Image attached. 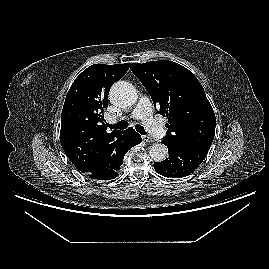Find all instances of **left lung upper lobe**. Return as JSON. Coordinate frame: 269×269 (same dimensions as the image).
I'll return each mask as SVG.
<instances>
[{"label":"left lung upper lobe","instance_id":"obj_1","mask_svg":"<svg viewBox=\"0 0 269 269\" xmlns=\"http://www.w3.org/2000/svg\"><path fill=\"white\" fill-rule=\"evenodd\" d=\"M130 69L150 93L159 112L168 117L163 140L179 148L209 149L216 118L194 74L167 60L132 63Z\"/></svg>","mask_w":269,"mask_h":269}]
</instances>
